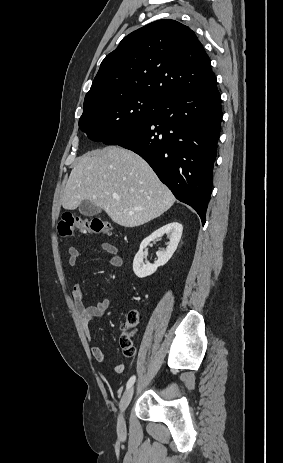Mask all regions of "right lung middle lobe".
<instances>
[{
  "mask_svg": "<svg viewBox=\"0 0 283 463\" xmlns=\"http://www.w3.org/2000/svg\"><path fill=\"white\" fill-rule=\"evenodd\" d=\"M158 101L136 95H109L84 103L79 127L94 141L105 142L151 116Z\"/></svg>",
  "mask_w": 283,
  "mask_h": 463,
  "instance_id": "right-lung-middle-lobe-1",
  "label": "right lung middle lobe"
}]
</instances>
